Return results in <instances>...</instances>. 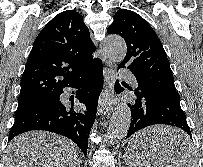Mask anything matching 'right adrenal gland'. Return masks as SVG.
<instances>
[{
	"label": "right adrenal gland",
	"instance_id": "obj_1",
	"mask_svg": "<svg viewBox=\"0 0 203 167\" xmlns=\"http://www.w3.org/2000/svg\"><path fill=\"white\" fill-rule=\"evenodd\" d=\"M81 163H82V161L79 159L77 167H80Z\"/></svg>",
	"mask_w": 203,
	"mask_h": 167
}]
</instances>
